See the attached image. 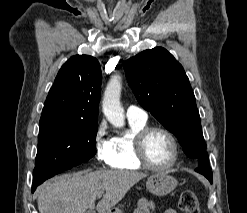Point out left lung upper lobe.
Returning a JSON list of instances; mask_svg holds the SVG:
<instances>
[{
    "mask_svg": "<svg viewBox=\"0 0 247 213\" xmlns=\"http://www.w3.org/2000/svg\"><path fill=\"white\" fill-rule=\"evenodd\" d=\"M139 104L170 132L190 158L206 150L199 112L188 77L166 49L145 50L123 64Z\"/></svg>",
    "mask_w": 247,
    "mask_h": 213,
    "instance_id": "1",
    "label": "left lung upper lobe"
}]
</instances>
